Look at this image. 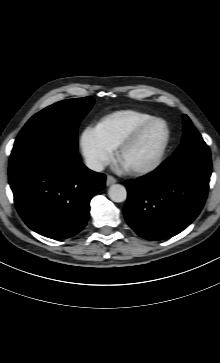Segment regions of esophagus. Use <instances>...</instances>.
Here are the masks:
<instances>
[{"mask_svg": "<svg viewBox=\"0 0 220 363\" xmlns=\"http://www.w3.org/2000/svg\"><path fill=\"white\" fill-rule=\"evenodd\" d=\"M116 182H117L116 178H114L111 175H107V177H106V185L107 186H110V185H112V184H114Z\"/></svg>", "mask_w": 220, "mask_h": 363, "instance_id": "1", "label": "esophagus"}]
</instances>
